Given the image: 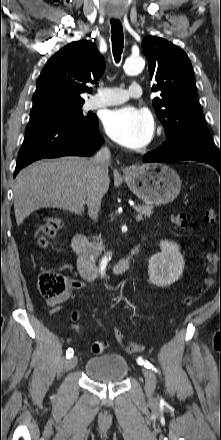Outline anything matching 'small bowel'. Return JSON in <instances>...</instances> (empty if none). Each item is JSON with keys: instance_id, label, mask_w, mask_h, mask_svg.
<instances>
[{"instance_id": "1", "label": "small bowel", "mask_w": 221, "mask_h": 440, "mask_svg": "<svg viewBox=\"0 0 221 440\" xmlns=\"http://www.w3.org/2000/svg\"><path fill=\"white\" fill-rule=\"evenodd\" d=\"M82 287V283L75 280L68 281V288L63 295L55 299H47V303L51 307L53 313L60 311L63 308V303L67 301L73 294L74 290Z\"/></svg>"}]
</instances>
